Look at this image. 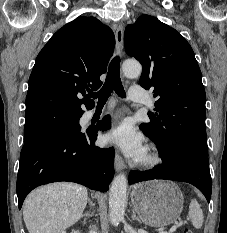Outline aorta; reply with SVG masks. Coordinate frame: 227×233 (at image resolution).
I'll return each mask as SVG.
<instances>
[{
	"label": "aorta",
	"instance_id": "aorta-1",
	"mask_svg": "<svg viewBox=\"0 0 227 233\" xmlns=\"http://www.w3.org/2000/svg\"><path fill=\"white\" fill-rule=\"evenodd\" d=\"M123 73L128 78H136L142 72V66L137 61H125ZM128 181L124 173L117 175L112 181L109 193V216L113 225H118L124 219Z\"/></svg>",
	"mask_w": 227,
	"mask_h": 233
}]
</instances>
